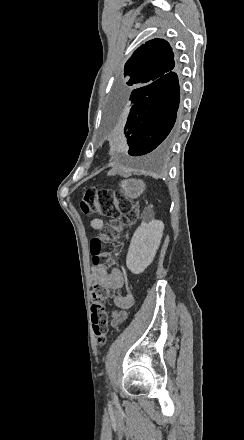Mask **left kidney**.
Here are the masks:
<instances>
[{
	"label": "left kidney",
	"instance_id": "1",
	"mask_svg": "<svg viewBox=\"0 0 244 440\" xmlns=\"http://www.w3.org/2000/svg\"><path fill=\"white\" fill-rule=\"evenodd\" d=\"M164 224L160 220L142 222L133 234L128 248L126 266L132 274H142L150 266L160 246Z\"/></svg>",
	"mask_w": 244,
	"mask_h": 440
}]
</instances>
